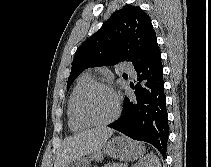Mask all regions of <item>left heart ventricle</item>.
<instances>
[{
	"mask_svg": "<svg viewBox=\"0 0 211 167\" xmlns=\"http://www.w3.org/2000/svg\"><path fill=\"white\" fill-rule=\"evenodd\" d=\"M81 110L89 119L95 121L107 120L115 110L114 98L108 90L94 88L83 97Z\"/></svg>",
	"mask_w": 211,
	"mask_h": 167,
	"instance_id": "b2bd125f",
	"label": "left heart ventricle"
}]
</instances>
